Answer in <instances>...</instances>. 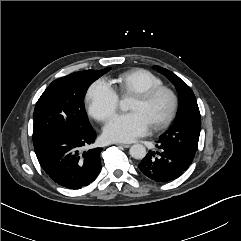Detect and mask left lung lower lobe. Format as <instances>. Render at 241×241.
I'll list each match as a JSON object with an SVG mask.
<instances>
[{
  "mask_svg": "<svg viewBox=\"0 0 241 241\" xmlns=\"http://www.w3.org/2000/svg\"><path fill=\"white\" fill-rule=\"evenodd\" d=\"M157 151L151 150L138 164L140 171L156 182H168L181 176L192 161L169 144L157 141Z\"/></svg>",
  "mask_w": 241,
  "mask_h": 241,
  "instance_id": "0a47b994",
  "label": "left lung lower lobe"
}]
</instances>
